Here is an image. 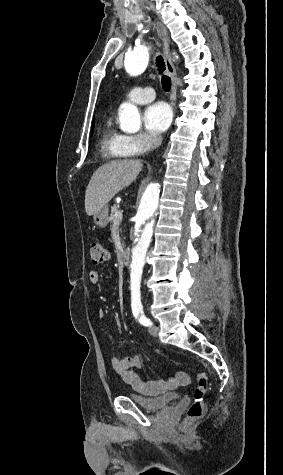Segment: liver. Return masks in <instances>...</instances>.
<instances>
[{"label": "liver", "instance_id": "liver-1", "mask_svg": "<svg viewBox=\"0 0 283 475\" xmlns=\"http://www.w3.org/2000/svg\"><path fill=\"white\" fill-rule=\"evenodd\" d=\"M143 166L141 160H114L94 172L85 194V212L94 216L120 190L136 180Z\"/></svg>", "mask_w": 283, "mask_h": 475}]
</instances>
